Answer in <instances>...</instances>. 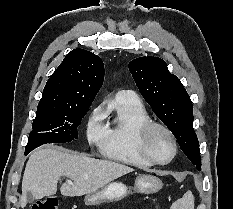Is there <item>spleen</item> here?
<instances>
[{"instance_id": "3e777b00", "label": "spleen", "mask_w": 233, "mask_h": 209, "mask_svg": "<svg viewBox=\"0 0 233 209\" xmlns=\"http://www.w3.org/2000/svg\"><path fill=\"white\" fill-rule=\"evenodd\" d=\"M171 209H194V196L192 192H186L182 198L173 203Z\"/></svg>"}]
</instances>
